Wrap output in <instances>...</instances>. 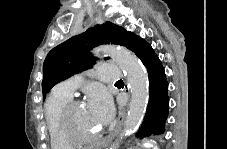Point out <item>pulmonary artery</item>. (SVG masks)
Instances as JSON below:
<instances>
[{
    "label": "pulmonary artery",
    "mask_w": 227,
    "mask_h": 149,
    "mask_svg": "<svg viewBox=\"0 0 227 149\" xmlns=\"http://www.w3.org/2000/svg\"><path fill=\"white\" fill-rule=\"evenodd\" d=\"M99 78L102 82H115L122 77L121 70L111 64H101L98 68ZM81 83V77L74 76L58 84L55 90L72 95Z\"/></svg>",
    "instance_id": "obj_1"
}]
</instances>
